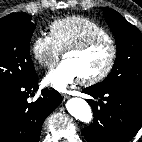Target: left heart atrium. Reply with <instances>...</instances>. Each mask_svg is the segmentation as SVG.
<instances>
[{
  "instance_id": "39dd6f15",
  "label": "left heart atrium",
  "mask_w": 142,
  "mask_h": 142,
  "mask_svg": "<svg viewBox=\"0 0 142 142\" xmlns=\"http://www.w3.org/2000/svg\"><path fill=\"white\" fill-rule=\"evenodd\" d=\"M80 78L81 77L73 64L64 59L48 73L46 82L54 89L64 91Z\"/></svg>"
}]
</instances>
